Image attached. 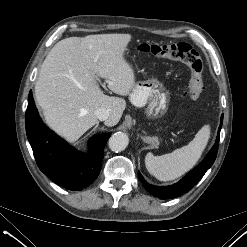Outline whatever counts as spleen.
Here are the masks:
<instances>
[{
	"instance_id": "1",
	"label": "spleen",
	"mask_w": 247,
	"mask_h": 247,
	"mask_svg": "<svg viewBox=\"0 0 247 247\" xmlns=\"http://www.w3.org/2000/svg\"><path fill=\"white\" fill-rule=\"evenodd\" d=\"M209 138L210 125H204L194 139L180 149L161 156L147 153L145 165L148 172L160 181H170L182 176L198 162Z\"/></svg>"
}]
</instances>
